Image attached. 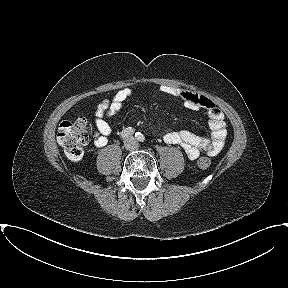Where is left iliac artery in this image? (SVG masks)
<instances>
[{"instance_id":"left-iliac-artery-1","label":"left iliac artery","mask_w":288,"mask_h":288,"mask_svg":"<svg viewBox=\"0 0 288 288\" xmlns=\"http://www.w3.org/2000/svg\"><path fill=\"white\" fill-rule=\"evenodd\" d=\"M135 137H136V139H137L138 141H140V142H143V141L145 140V137L143 136V134H141V133H139V132H137V133L135 134Z\"/></svg>"}]
</instances>
